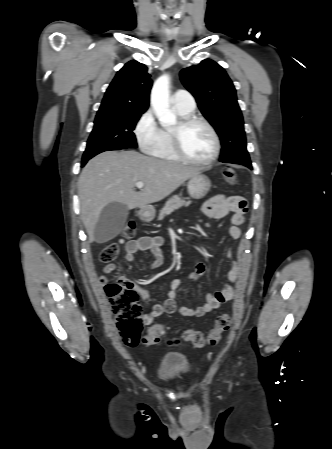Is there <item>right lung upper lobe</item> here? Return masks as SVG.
I'll return each instance as SVG.
<instances>
[{
	"instance_id": "1",
	"label": "right lung upper lobe",
	"mask_w": 332,
	"mask_h": 449,
	"mask_svg": "<svg viewBox=\"0 0 332 449\" xmlns=\"http://www.w3.org/2000/svg\"><path fill=\"white\" fill-rule=\"evenodd\" d=\"M152 87L147 67L137 61H130L120 69L109 85L99 115L115 113H144L149 106Z\"/></svg>"
}]
</instances>
